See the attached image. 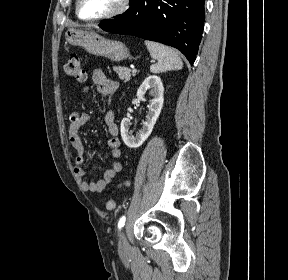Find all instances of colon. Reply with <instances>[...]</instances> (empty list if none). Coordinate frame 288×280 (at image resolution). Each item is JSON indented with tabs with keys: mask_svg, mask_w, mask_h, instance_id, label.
<instances>
[{
	"mask_svg": "<svg viewBox=\"0 0 288 280\" xmlns=\"http://www.w3.org/2000/svg\"><path fill=\"white\" fill-rule=\"evenodd\" d=\"M65 73L68 77L77 82H83L86 78L85 71L82 67L80 57L77 54H72L66 65H65ZM129 185V181H123L119 187H126ZM116 206V202L113 198H108L106 201V208L108 210H113Z\"/></svg>",
	"mask_w": 288,
	"mask_h": 280,
	"instance_id": "1",
	"label": "colon"
}]
</instances>
